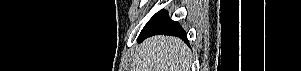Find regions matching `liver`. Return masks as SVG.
I'll use <instances>...</instances> for the list:
<instances>
[{
	"mask_svg": "<svg viewBox=\"0 0 301 71\" xmlns=\"http://www.w3.org/2000/svg\"><path fill=\"white\" fill-rule=\"evenodd\" d=\"M190 50L177 37L154 36L137 49L132 71H189Z\"/></svg>",
	"mask_w": 301,
	"mask_h": 71,
	"instance_id": "liver-1",
	"label": "liver"
}]
</instances>
